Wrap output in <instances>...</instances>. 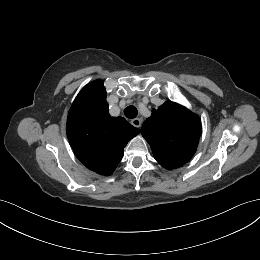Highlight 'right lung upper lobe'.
Wrapping results in <instances>:
<instances>
[{"mask_svg": "<svg viewBox=\"0 0 260 260\" xmlns=\"http://www.w3.org/2000/svg\"><path fill=\"white\" fill-rule=\"evenodd\" d=\"M139 132L124 118L110 116L101 80L83 87L68 113L67 136L76 157L100 175L113 173L124 147Z\"/></svg>", "mask_w": 260, "mask_h": 260, "instance_id": "obj_1", "label": "right lung upper lobe"}]
</instances>
